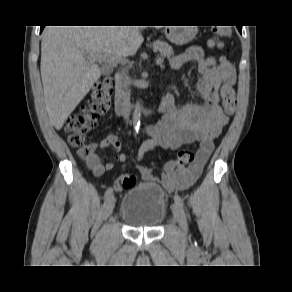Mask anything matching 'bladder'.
I'll return each instance as SVG.
<instances>
[{"label": "bladder", "mask_w": 292, "mask_h": 292, "mask_svg": "<svg viewBox=\"0 0 292 292\" xmlns=\"http://www.w3.org/2000/svg\"><path fill=\"white\" fill-rule=\"evenodd\" d=\"M166 213L164 191L150 183L128 189L120 207V217L132 228H155L164 220Z\"/></svg>", "instance_id": "obj_1"}]
</instances>
